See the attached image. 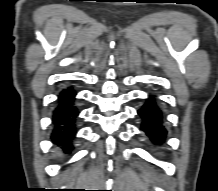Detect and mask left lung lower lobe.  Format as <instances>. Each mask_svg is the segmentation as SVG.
Here are the masks:
<instances>
[{
	"instance_id": "obj_1",
	"label": "left lung lower lobe",
	"mask_w": 218,
	"mask_h": 191,
	"mask_svg": "<svg viewBox=\"0 0 218 191\" xmlns=\"http://www.w3.org/2000/svg\"><path fill=\"white\" fill-rule=\"evenodd\" d=\"M142 117V130L155 144L164 142L167 131L162 126V112L156 105L153 96L147 100L144 106L138 111Z\"/></svg>"
}]
</instances>
